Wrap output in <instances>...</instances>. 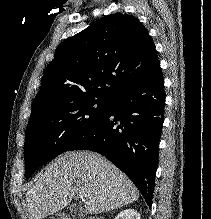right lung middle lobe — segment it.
I'll use <instances>...</instances> for the list:
<instances>
[{
  "label": "right lung middle lobe",
  "instance_id": "obj_1",
  "mask_svg": "<svg viewBox=\"0 0 211 219\" xmlns=\"http://www.w3.org/2000/svg\"><path fill=\"white\" fill-rule=\"evenodd\" d=\"M110 100L83 98L55 111L30 119L25 133V176L41 164L68 151L106 114Z\"/></svg>",
  "mask_w": 211,
  "mask_h": 219
}]
</instances>
